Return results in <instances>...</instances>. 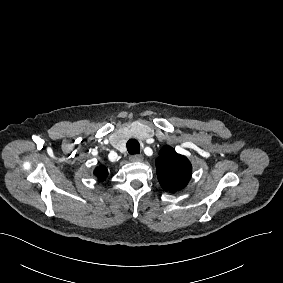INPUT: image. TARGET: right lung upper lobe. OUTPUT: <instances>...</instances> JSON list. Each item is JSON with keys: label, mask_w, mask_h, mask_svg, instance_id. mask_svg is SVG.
Masks as SVG:
<instances>
[{"label": "right lung upper lobe", "mask_w": 283, "mask_h": 283, "mask_svg": "<svg viewBox=\"0 0 283 283\" xmlns=\"http://www.w3.org/2000/svg\"><path fill=\"white\" fill-rule=\"evenodd\" d=\"M94 174L96 175V177L100 181H104L107 178V176H108V171H107L106 167L101 166V167H97L95 169Z\"/></svg>", "instance_id": "right-lung-upper-lobe-1"}]
</instances>
